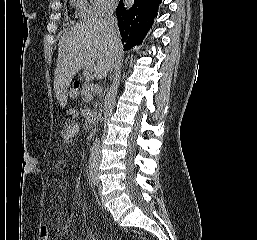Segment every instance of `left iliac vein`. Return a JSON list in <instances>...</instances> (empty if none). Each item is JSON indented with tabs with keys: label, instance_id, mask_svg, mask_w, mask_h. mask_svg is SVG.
Segmentation results:
<instances>
[{
	"label": "left iliac vein",
	"instance_id": "4c4485c4",
	"mask_svg": "<svg viewBox=\"0 0 257 240\" xmlns=\"http://www.w3.org/2000/svg\"><path fill=\"white\" fill-rule=\"evenodd\" d=\"M99 192H101V187L100 186H99ZM100 199H101L102 207L105 208L102 197H100Z\"/></svg>",
	"mask_w": 257,
	"mask_h": 240
}]
</instances>
